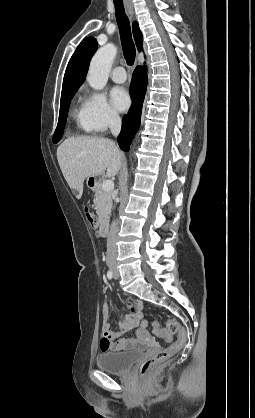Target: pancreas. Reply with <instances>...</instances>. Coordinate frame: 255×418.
<instances>
[{
    "label": "pancreas",
    "instance_id": "cf45deb5",
    "mask_svg": "<svg viewBox=\"0 0 255 418\" xmlns=\"http://www.w3.org/2000/svg\"><path fill=\"white\" fill-rule=\"evenodd\" d=\"M95 209L99 220L106 218L112 207V191H105L102 188V182H99L95 188Z\"/></svg>",
    "mask_w": 255,
    "mask_h": 418
}]
</instances>
